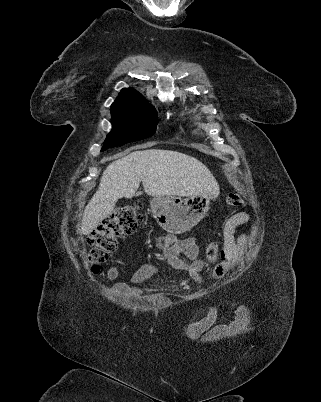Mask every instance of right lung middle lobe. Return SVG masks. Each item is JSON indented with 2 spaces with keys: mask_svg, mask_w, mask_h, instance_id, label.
I'll return each mask as SVG.
<instances>
[{
  "mask_svg": "<svg viewBox=\"0 0 321 402\" xmlns=\"http://www.w3.org/2000/svg\"><path fill=\"white\" fill-rule=\"evenodd\" d=\"M111 115L112 130L102 151L144 139L155 132L157 112L154 108L112 104Z\"/></svg>",
  "mask_w": 321,
  "mask_h": 402,
  "instance_id": "obj_1",
  "label": "right lung middle lobe"
}]
</instances>
